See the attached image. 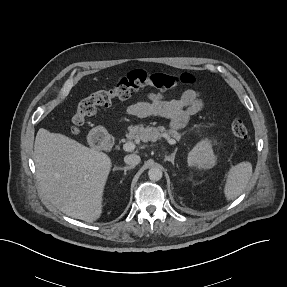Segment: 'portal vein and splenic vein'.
<instances>
[{
  "label": "portal vein and splenic vein",
  "instance_id": "1",
  "mask_svg": "<svg viewBox=\"0 0 287 287\" xmlns=\"http://www.w3.org/2000/svg\"><path fill=\"white\" fill-rule=\"evenodd\" d=\"M167 142L170 144V145H175L176 144V141L168 136H165ZM123 149L124 151L126 152H130V151H133L135 149V145L134 143L132 142H127L123 145Z\"/></svg>",
  "mask_w": 287,
  "mask_h": 287
}]
</instances>
